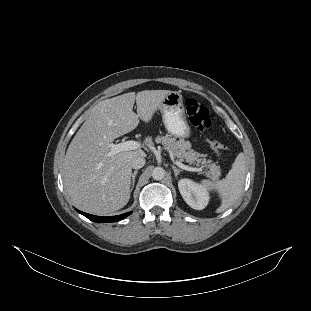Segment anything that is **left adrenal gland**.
<instances>
[{
    "mask_svg": "<svg viewBox=\"0 0 311 311\" xmlns=\"http://www.w3.org/2000/svg\"><path fill=\"white\" fill-rule=\"evenodd\" d=\"M172 169L175 172V178H178V176L182 172V170H179L177 167H174V166H172Z\"/></svg>",
    "mask_w": 311,
    "mask_h": 311,
    "instance_id": "obj_1",
    "label": "left adrenal gland"
}]
</instances>
